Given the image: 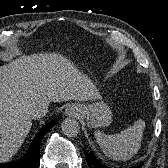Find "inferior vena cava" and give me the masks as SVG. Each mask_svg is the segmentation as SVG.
<instances>
[{"mask_svg":"<svg viewBox=\"0 0 168 168\" xmlns=\"http://www.w3.org/2000/svg\"><path fill=\"white\" fill-rule=\"evenodd\" d=\"M49 112L48 104H40L35 106L32 110L29 111V117L31 119H39L44 117Z\"/></svg>","mask_w":168,"mask_h":168,"instance_id":"602c4592","label":"inferior vena cava"}]
</instances>
